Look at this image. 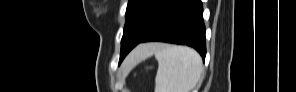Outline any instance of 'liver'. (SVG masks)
<instances>
[{
    "label": "liver",
    "mask_w": 296,
    "mask_h": 92,
    "mask_svg": "<svg viewBox=\"0 0 296 92\" xmlns=\"http://www.w3.org/2000/svg\"><path fill=\"white\" fill-rule=\"evenodd\" d=\"M148 45H142V46H140L135 52H134V54L135 55H139V53L142 51V49L143 48H145V47H147Z\"/></svg>",
    "instance_id": "obj_1"
}]
</instances>
